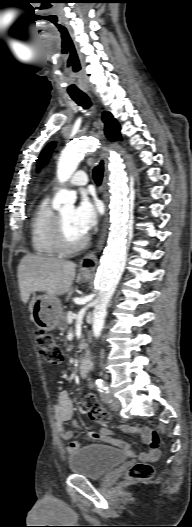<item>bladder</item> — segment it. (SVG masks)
<instances>
[{
	"label": "bladder",
	"mask_w": 192,
	"mask_h": 527,
	"mask_svg": "<svg viewBox=\"0 0 192 527\" xmlns=\"http://www.w3.org/2000/svg\"><path fill=\"white\" fill-rule=\"evenodd\" d=\"M126 460L123 451L106 444L92 443L75 450L68 458L72 474L102 479Z\"/></svg>",
	"instance_id": "obj_1"
}]
</instances>
